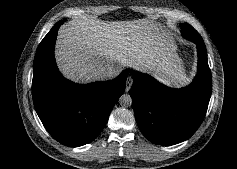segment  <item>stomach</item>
I'll list each match as a JSON object with an SVG mask.
<instances>
[{"label": "stomach", "instance_id": "obj_1", "mask_svg": "<svg viewBox=\"0 0 237 169\" xmlns=\"http://www.w3.org/2000/svg\"><path fill=\"white\" fill-rule=\"evenodd\" d=\"M167 55H169L168 54V51L166 50V49H163L162 51H161V59L164 61L165 59L167 60Z\"/></svg>", "mask_w": 237, "mask_h": 169}]
</instances>
